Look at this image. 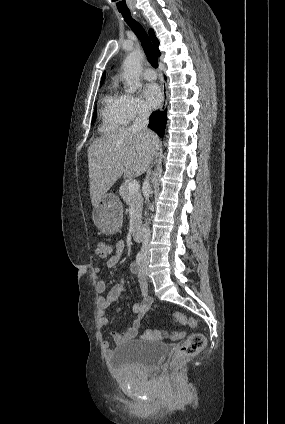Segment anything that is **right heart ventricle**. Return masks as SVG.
Instances as JSON below:
<instances>
[{
    "label": "right heart ventricle",
    "instance_id": "e07e8e85",
    "mask_svg": "<svg viewBox=\"0 0 285 424\" xmlns=\"http://www.w3.org/2000/svg\"><path fill=\"white\" fill-rule=\"evenodd\" d=\"M127 124L124 95L118 90L117 84L112 83L102 98L100 111V131L113 132Z\"/></svg>",
    "mask_w": 285,
    "mask_h": 424
}]
</instances>
